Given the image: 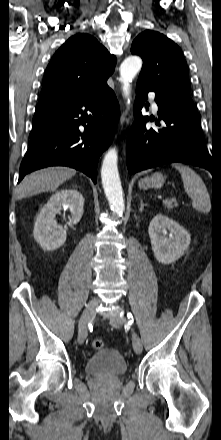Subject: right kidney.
I'll return each instance as SVG.
<instances>
[{
  "label": "right kidney",
  "instance_id": "ca27d5eb",
  "mask_svg": "<svg viewBox=\"0 0 221 440\" xmlns=\"http://www.w3.org/2000/svg\"><path fill=\"white\" fill-rule=\"evenodd\" d=\"M84 198L75 189H62L53 194L36 218L33 235L43 250H55L64 244L67 236V227L58 226L56 214L62 208H69L71 217L69 224H77L82 215Z\"/></svg>",
  "mask_w": 221,
  "mask_h": 440
}]
</instances>
